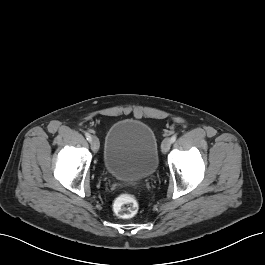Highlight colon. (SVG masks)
<instances>
[{
	"label": "colon",
	"instance_id": "obj_1",
	"mask_svg": "<svg viewBox=\"0 0 265 265\" xmlns=\"http://www.w3.org/2000/svg\"><path fill=\"white\" fill-rule=\"evenodd\" d=\"M115 209L121 218H131L137 213L136 199L130 194H122L115 202Z\"/></svg>",
	"mask_w": 265,
	"mask_h": 265
}]
</instances>
